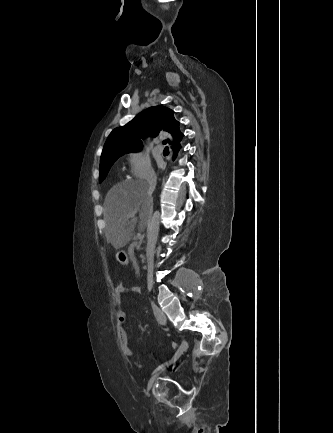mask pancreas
Instances as JSON below:
<instances>
[{"label": "pancreas", "mask_w": 333, "mask_h": 433, "mask_svg": "<svg viewBox=\"0 0 333 433\" xmlns=\"http://www.w3.org/2000/svg\"><path fill=\"white\" fill-rule=\"evenodd\" d=\"M135 246H137V244L135 245V244H132L131 246H130V248H129V256H130V259H131V261L133 262V264L135 265V266H137V264H136V259H135V257H134V254H133V250H134V247Z\"/></svg>", "instance_id": "pancreas-1"}]
</instances>
